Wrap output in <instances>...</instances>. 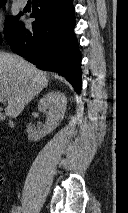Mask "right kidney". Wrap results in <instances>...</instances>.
<instances>
[{"label":"right kidney","mask_w":128,"mask_h":213,"mask_svg":"<svg viewBox=\"0 0 128 213\" xmlns=\"http://www.w3.org/2000/svg\"><path fill=\"white\" fill-rule=\"evenodd\" d=\"M67 106V99L60 91H51L44 95L38 103V110L47 114V121L41 130L27 126L28 139L38 141L51 133L63 120Z\"/></svg>","instance_id":"right-kidney-1"}]
</instances>
